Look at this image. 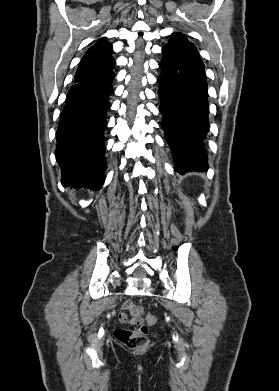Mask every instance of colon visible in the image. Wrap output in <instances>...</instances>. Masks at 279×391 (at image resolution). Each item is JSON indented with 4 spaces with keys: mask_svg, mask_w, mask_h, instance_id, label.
Instances as JSON below:
<instances>
[{
    "mask_svg": "<svg viewBox=\"0 0 279 391\" xmlns=\"http://www.w3.org/2000/svg\"><path fill=\"white\" fill-rule=\"evenodd\" d=\"M156 321V316L152 314H148L146 316V322L148 325H153ZM147 333L148 328L145 325L136 330L123 327L115 330V337L119 342L130 349L145 350L149 344Z\"/></svg>",
    "mask_w": 279,
    "mask_h": 391,
    "instance_id": "5ec220e1",
    "label": "colon"
}]
</instances>
